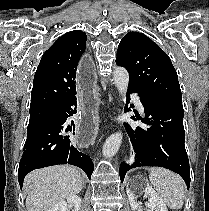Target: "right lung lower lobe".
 I'll return each mask as SVG.
<instances>
[{
    "label": "right lung lower lobe",
    "mask_w": 209,
    "mask_h": 211,
    "mask_svg": "<svg viewBox=\"0 0 209 211\" xmlns=\"http://www.w3.org/2000/svg\"><path fill=\"white\" fill-rule=\"evenodd\" d=\"M76 97L56 105L48 117L30 134L24 145L19 163L18 180L22 188L24 177L32 170L58 164H71L85 171L91 178L94 165L88 155L74 147L73 137L68 134L72 127L67 118L76 113ZM74 124V121L71 122ZM74 135V132H73Z\"/></svg>",
    "instance_id": "1"
}]
</instances>
